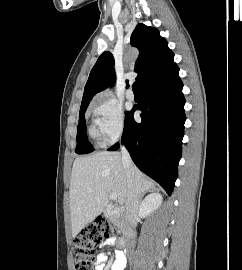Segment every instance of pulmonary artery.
<instances>
[{
  "instance_id": "obj_1",
  "label": "pulmonary artery",
  "mask_w": 242,
  "mask_h": 270,
  "mask_svg": "<svg viewBox=\"0 0 242 270\" xmlns=\"http://www.w3.org/2000/svg\"><path fill=\"white\" fill-rule=\"evenodd\" d=\"M126 95H127V98H128L129 100H134V99H135V94H134V92H133L132 89H129V90L127 91Z\"/></svg>"
}]
</instances>
